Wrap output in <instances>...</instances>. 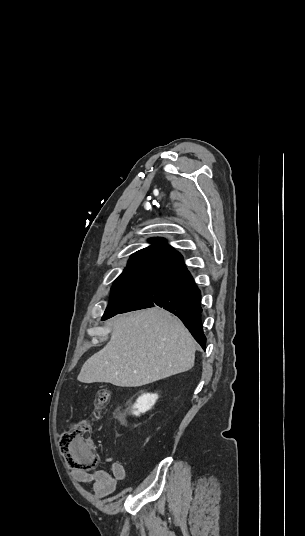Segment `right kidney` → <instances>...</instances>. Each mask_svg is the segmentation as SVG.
I'll list each match as a JSON object with an SVG mask.
<instances>
[{
	"instance_id": "obj_1",
	"label": "right kidney",
	"mask_w": 305,
	"mask_h": 536,
	"mask_svg": "<svg viewBox=\"0 0 305 536\" xmlns=\"http://www.w3.org/2000/svg\"><path fill=\"white\" fill-rule=\"evenodd\" d=\"M156 400H158L157 394H142L137 400V412H147L152 406H154Z\"/></svg>"
}]
</instances>
